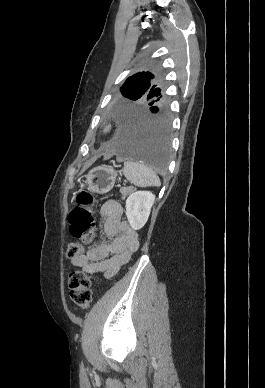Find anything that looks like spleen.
<instances>
[{"instance_id":"1","label":"spleen","mask_w":265,"mask_h":388,"mask_svg":"<svg viewBox=\"0 0 265 388\" xmlns=\"http://www.w3.org/2000/svg\"><path fill=\"white\" fill-rule=\"evenodd\" d=\"M123 174L134 186H160V180L152 168L144 166L143 162H124Z\"/></svg>"}]
</instances>
